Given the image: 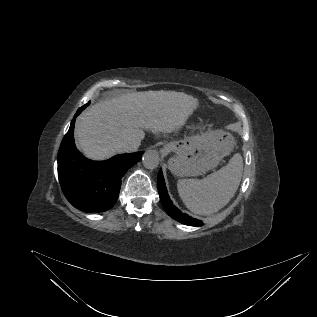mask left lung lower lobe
Wrapping results in <instances>:
<instances>
[{"instance_id": "1", "label": "left lung lower lobe", "mask_w": 317, "mask_h": 317, "mask_svg": "<svg viewBox=\"0 0 317 317\" xmlns=\"http://www.w3.org/2000/svg\"><path fill=\"white\" fill-rule=\"evenodd\" d=\"M157 185H158V192L160 196V200L162 202V205L167 212L169 216L174 218L175 220L179 221L180 223L189 225V226H201L202 221H197L196 219H193L189 215L182 213L177 207H175L169 198V195L167 193V189L165 186V181L162 175V171L158 174L157 179Z\"/></svg>"}]
</instances>
